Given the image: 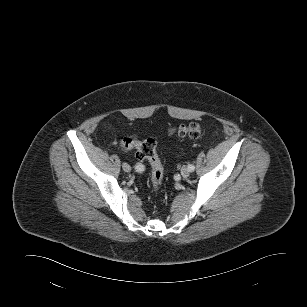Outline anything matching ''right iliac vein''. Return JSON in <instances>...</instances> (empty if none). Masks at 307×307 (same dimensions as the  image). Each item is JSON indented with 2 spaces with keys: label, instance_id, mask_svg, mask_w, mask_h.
Returning a JSON list of instances; mask_svg holds the SVG:
<instances>
[{
  "label": "right iliac vein",
  "instance_id": "right-iliac-vein-1",
  "mask_svg": "<svg viewBox=\"0 0 307 307\" xmlns=\"http://www.w3.org/2000/svg\"><path fill=\"white\" fill-rule=\"evenodd\" d=\"M122 168L125 172H130L131 171V166L127 163L122 164Z\"/></svg>",
  "mask_w": 307,
  "mask_h": 307
}]
</instances>
